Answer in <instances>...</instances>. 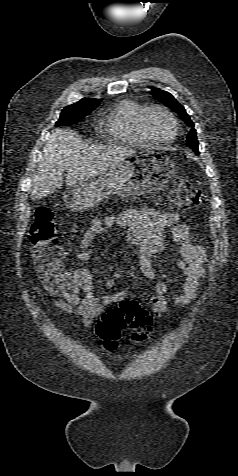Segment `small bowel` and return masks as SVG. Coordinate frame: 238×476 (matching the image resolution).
I'll return each mask as SVG.
<instances>
[{
  "instance_id": "c3829d8e",
  "label": "small bowel",
  "mask_w": 238,
  "mask_h": 476,
  "mask_svg": "<svg viewBox=\"0 0 238 476\" xmlns=\"http://www.w3.org/2000/svg\"><path fill=\"white\" fill-rule=\"evenodd\" d=\"M178 214L160 212L151 208H133L118 215L107 216L103 219L94 218L84 232L76 255V268L71 272L76 278L73 286L57 290L49 289L56 297L55 304L61 310L78 315L83 325L90 329L104 309L112 304L129 301L125 292L113 293L112 290L120 273L109 271L103 282L105 293L97 298L94 295L92 275L85 263L91 261L94 253L89 246L94 239L106 230L122 228L125 230L128 242L138 251V263L142 275L148 280L156 278V271L151 257L165 250V239L169 236L177 245L175 266L183 273L184 279L175 289L179 296L175 304L183 306L195 299L204 277L205 250L202 245L191 239L187 225L178 222ZM171 287L165 282H157L155 294L149 297L147 304L155 317L169 310L168 297Z\"/></svg>"
}]
</instances>
